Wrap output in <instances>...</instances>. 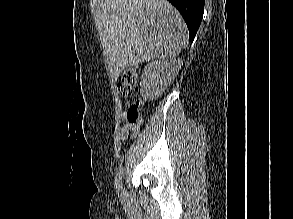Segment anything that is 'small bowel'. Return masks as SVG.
<instances>
[{
	"mask_svg": "<svg viewBox=\"0 0 293 219\" xmlns=\"http://www.w3.org/2000/svg\"><path fill=\"white\" fill-rule=\"evenodd\" d=\"M131 130H134L133 127H131L130 125H125L122 130H121V135H122V138L124 140H127L130 138V131Z\"/></svg>",
	"mask_w": 293,
	"mask_h": 219,
	"instance_id": "1",
	"label": "small bowel"
}]
</instances>
